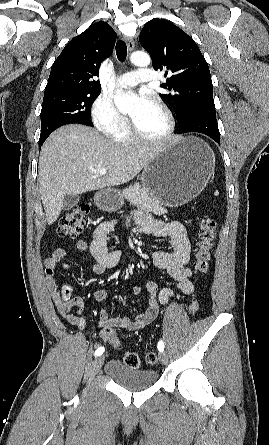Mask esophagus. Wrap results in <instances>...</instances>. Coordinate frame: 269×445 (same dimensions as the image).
I'll return each instance as SVG.
<instances>
[{"label": "esophagus", "mask_w": 269, "mask_h": 445, "mask_svg": "<svg viewBox=\"0 0 269 445\" xmlns=\"http://www.w3.org/2000/svg\"><path fill=\"white\" fill-rule=\"evenodd\" d=\"M125 42H126V44H127V47H128V49H129V51H132V50L134 49V47H135V44H134L133 39H132V38H129V37H126V38H125Z\"/></svg>", "instance_id": "obj_1"}]
</instances>
